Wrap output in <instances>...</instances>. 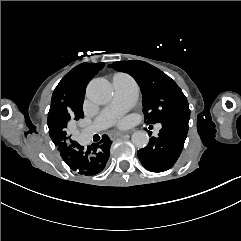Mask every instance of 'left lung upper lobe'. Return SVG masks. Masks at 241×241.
<instances>
[{"instance_id":"left-lung-upper-lobe-1","label":"left lung upper lobe","mask_w":241,"mask_h":241,"mask_svg":"<svg viewBox=\"0 0 241 241\" xmlns=\"http://www.w3.org/2000/svg\"><path fill=\"white\" fill-rule=\"evenodd\" d=\"M109 67L130 74L141 87L146 124L190 117L182 90L158 68L140 60L114 62Z\"/></svg>"}]
</instances>
